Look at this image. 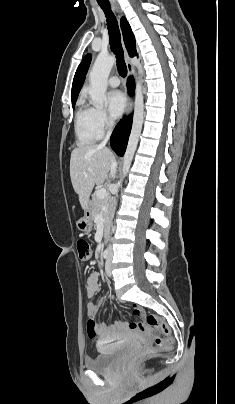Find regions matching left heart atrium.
Listing matches in <instances>:
<instances>
[{
	"label": "left heart atrium",
	"mask_w": 235,
	"mask_h": 404,
	"mask_svg": "<svg viewBox=\"0 0 235 404\" xmlns=\"http://www.w3.org/2000/svg\"><path fill=\"white\" fill-rule=\"evenodd\" d=\"M107 105L110 115L114 118L119 117L126 106L124 94L119 90L111 91L107 96Z\"/></svg>",
	"instance_id": "1"
}]
</instances>
